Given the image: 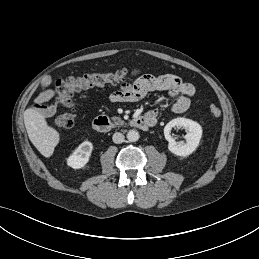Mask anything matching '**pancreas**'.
<instances>
[{
  "instance_id": "1",
  "label": "pancreas",
  "mask_w": 259,
  "mask_h": 259,
  "mask_svg": "<svg viewBox=\"0 0 259 259\" xmlns=\"http://www.w3.org/2000/svg\"><path fill=\"white\" fill-rule=\"evenodd\" d=\"M112 120L115 122L116 125H122V124H124V121L121 120L120 117L113 116V117H112Z\"/></svg>"
}]
</instances>
